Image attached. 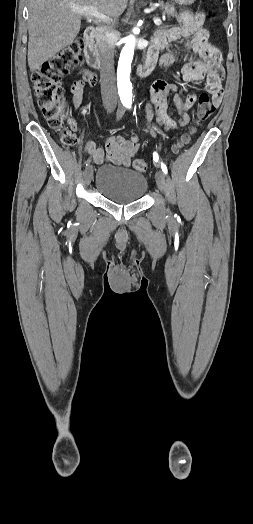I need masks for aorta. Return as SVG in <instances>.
<instances>
[{
	"mask_svg": "<svg viewBox=\"0 0 253 524\" xmlns=\"http://www.w3.org/2000/svg\"><path fill=\"white\" fill-rule=\"evenodd\" d=\"M135 41L134 35H129L125 38V45L121 51L118 62L117 84L119 96L122 101L132 100V84L130 82V73L135 49Z\"/></svg>",
	"mask_w": 253,
	"mask_h": 524,
	"instance_id": "1",
	"label": "aorta"
}]
</instances>
